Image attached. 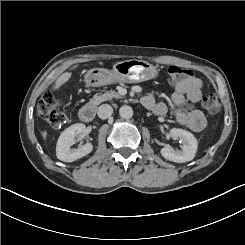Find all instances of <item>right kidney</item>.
Returning <instances> with one entry per match:
<instances>
[{
    "mask_svg": "<svg viewBox=\"0 0 245 245\" xmlns=\"http://www.w3.org/2000/svg\"><path fill=\"white\" fill-rule=\"evenodd\" d=\"M85 129L86 126L84 124L76 123L61 133L56 145V156L59 160L64 162H73L83 156H86L92 151L93 146L91 143H86L77 149L70 148L76 142L75 137L84 132Z\"/></svg>",
    "mask_w": 245,
    "mask_h": 245,
    "instance_id": "ca27d5eb",
    "label": "right kidney"
}]
</instances>
